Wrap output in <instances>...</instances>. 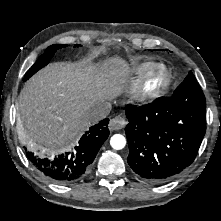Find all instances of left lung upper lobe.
<instances>
[{"label":"left lung upper lobe","instance_id":"obj_1","mask_svg":"<svg viewBox=\"0 0 221 221\" xmlns=\"http://www.w3.org/2000/svg\"><path fill=\"white\" fill-rule=\"evenodd\" d=\"M172 98L179 102L206 103L205 96L192 71L188 73L185 80L176 88Z\"/></svg>","mask_w":221,"mask_h":221}]
</instances>
